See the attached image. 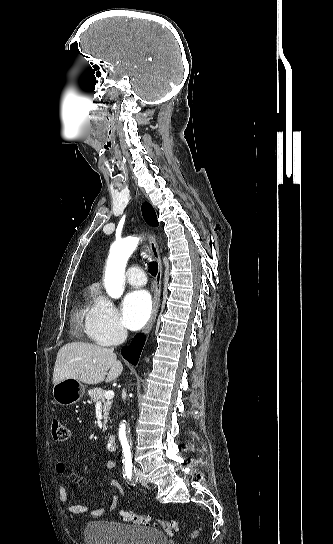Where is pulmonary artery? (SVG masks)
I'll return each mask as SVG.
<instances>
[{
  "label": "pulmonary artery",
  "instance_id": "obj_1",
  "mask_svg": "<svg viewBox=\"0 0 333 544\" xmlns=\"http://www.w3.org/2000/svg\"><path fill=\"white\" fill-rule=\"evenodd\" d=\"M126 279L133 286H143L146 284L145 273L138 266H132L127 270Z\"/></svg>",
  "mask_w": 333,
  "mask_h": 544
}]
</instances>
